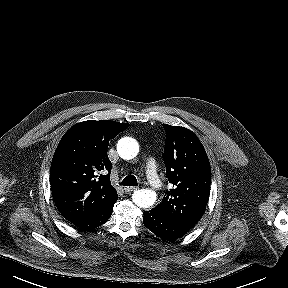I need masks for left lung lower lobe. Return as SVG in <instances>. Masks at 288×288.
Segmentation results:
<instances>
[{
  "label": "left lung lower lobe",
  "instance_id": "1",
  "mask_svg": "<svg viewBox=\"0 0 288 288\" xmlns=\"http://www.w3.org/2000/svg\"><path fill=\"white\" fill-rule=\"evenodd\" d=\"M143 223L151 232L167 241L178 239L191 229V227L169 219L154 208L144 211Z\"/></svg>",
  "mask_w": 288,
  "mask_h": 288
}]
</instances>
